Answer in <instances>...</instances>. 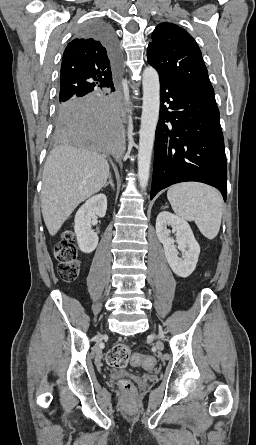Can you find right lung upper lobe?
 <instances>
[{
  "label": "right lung upper lobe",
  "mask_w": 256,
  "mask_h": 445,
  "mask_svg": "<svg viewBox=\"0 0 256 445\" xmlns=\"http://www.w3.org/2000/svg\"><path fill=\"white\" fill-rule=\"evenodd\" d=\"M116 69L104 44L82 31L64 51L58 102L113 88Z\"/></svg>",
  "instance_id": "obj_1"
}]
</instances>
